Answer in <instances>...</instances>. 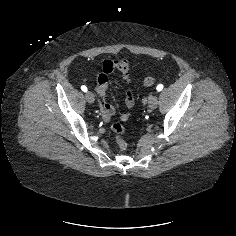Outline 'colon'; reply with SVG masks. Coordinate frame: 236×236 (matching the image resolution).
Masks as SVG:
<instances>
[{
	"instance_id": "obj_1",
	"label": "colon",
	"mask_w": 236,
	"mask_h": 236,
	"mask_svg": "<svg viewBox=\"0 0 236 236\" xmlns=\"http://www.w3.org/2000/svg\"><path fill=\"white\" fill-rule=\"evenodd\" d=\"M154 82H155L154 78L147 77L144 79L143 84L145 86H151L154 84ZM111 129H112L113 133L115 134L116 143H117L119 150L125 151L127 148V143H126L125 139L123 138V136L126 134L125 127L120 123H114L111 126Z\"/></svg>"
}]
</instances>
